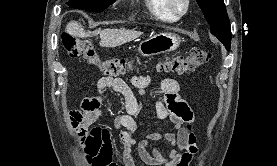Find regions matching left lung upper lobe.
<instances>
[{
    "label": "left lung upper lobe",
    "mask_w": 277,
    "mask_h": 166,
    "mask_svg": "<svg viewBox=\"0 0 277 166\" xmlns=\"http://www.w3.org/2000/svg\"><path fill=\"white\" fill-rule=\"evenodd\" d=\"M211 26V33L230 49L231 28L223 0H197Z\"/></svg>",
    "instance_id": "5c2ea615"
}]
</instances>
